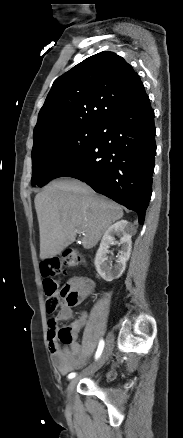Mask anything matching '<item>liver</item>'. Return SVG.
Wrapping results in <instances>:
<instances>
[{"mask_svg":"<svg viewBox=\"0 0 183 438\" xmlns=\"http://www.w3.org/2000/svg\"><path fill=\"white\" fill-rule=\"evenodd\" d=\"M40 232V258L50 259L75 241L93 248L112 223L123 217L122 207L97 195L76 179L54 180L34 199Z\"/></svg>","mask_w":183,"mask_h":438,"instance_id":"obj_1","label":"liver"}]
</instances>
